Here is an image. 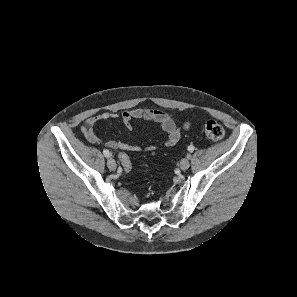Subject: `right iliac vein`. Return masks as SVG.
Returning a JSON list of instances; mask_svg holds the SVG:
<instances>
[{
	"label": "right iliac vein",
	"instance_id": "63e3f726",
	"mask_svg": "<svg viewBox=\"0 0 297 297\" xmlns=\"http://www.w3.org/2000/svg\"><path fill=\"white\" fill-rule=\"evenodd\" d=\"M107 166H108V168H109L110 170H115L116 167H117V164H116V162H115V160H114L113 158H109V159L107 160Z\"/></svg>",
	"mask_w": 297,
	"mask_h": 297
}]
</instances>
